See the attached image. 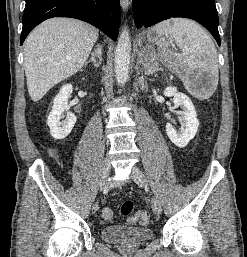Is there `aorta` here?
Returning <instances> with one entry per match:
<instances>
[{"mask_svg": "<svg viewBox=\"0 0 247 257\" xmlns=\"http://www.w3.org/2000/svg\"><path fill=\"white\" fill-rule=\"evenodd\" d=\"M130 55V34L127 27H124L119 35L114 58V71L119 85H124L128 80Z\"/></svg>", "mask_w": 247, "mask_h": 257, "instance_id": "aorta-1", "label": "aorta"}]
</instances>
